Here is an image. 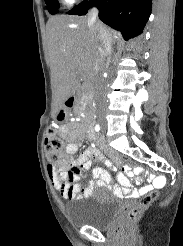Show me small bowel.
Here are the masks:
<instances>
[{
    "instance_id": "c3829d8e",
    "label": "small bowel",
    "mask_w": 183,
    "mask_h": 246,
    "mask_svg": "<svg viewBox=\"0 0 183 246\" xmlns=\"http://www.w3.org/2000/svg\"><path fill=\"white\" fill-rule=\"evenodd\" d=\"M61 131L69 140H76L82 135V131H69L66 127H61ZM92 133L91 131L90 136ZM79 146L80 143L78 142H70L66 146V164L59 169L49 164L47 168L52 185L66 200L75 201L90 197L93 186L103 187L107 185L118 196L139 197L154 190L158 185L166 184V181L162 180L165 178L164 174H149L148 182L153 183L133 191L129 179H134V174L142 173V169L137 167L132 171L128 165H124L122 167L123 172L117 175L121 187L114 185L109 172L102 168H94L91 171L92 180L88 184H83L79 179L84 176V171L91 167L92 160L102 161L103 156L97 148L89 147L74 160L72 155L77 152ZM107 165L111 166V163L108 162Z\"/></svg>"
}]
</instances>
